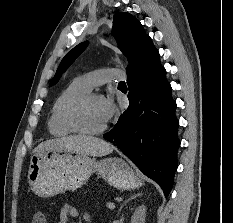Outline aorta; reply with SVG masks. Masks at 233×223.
<instances>
[{
	"label": "aorta",
	"instance_id": "1",
	"mask_svg": "<svg viewBox=\"0 0 233 223\" xmlns=\"http://www.w3.org/2000/svg\"><path fill=\"white\" fill-rule=\"evenodd\" d=\"M116 62H118V64H121L120 60H118V58H116Z\"/></svg>",
	"mask_w": 233,
	"mask_h": 223
}]
</instances>
